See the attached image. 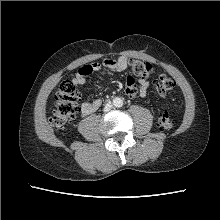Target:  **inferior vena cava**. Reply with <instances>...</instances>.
<instances>
[{"label":"inferior vena cava","instance_id":"inferior-vena-cava-1","mask_svg":"<svg viewBox=\"0 0 220 220\" xmlns=\"http://www.w3.org/2000/svg\"><path fill=\"white\" fill-rule=\"evenodd\" d=\"M112 106V103L108 102L104 107V112H108L109 110H111Z\"/></svg>","mask_w":220,"mask_h":220}]
</instances>
